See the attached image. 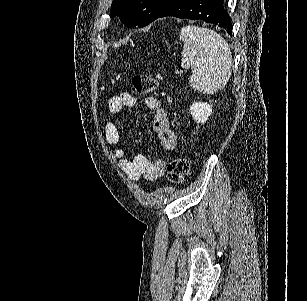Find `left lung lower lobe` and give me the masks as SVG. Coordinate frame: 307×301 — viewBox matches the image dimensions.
Instances as JSON below:
<instances>
[{"instance_id":"obj_1","label":"left lung lower lobe","mask_w":307,"mask_h":301,"mask_svg":"<svg viewBox=\"0 0 307 301\" xmlns=\"http://www.w3.org/2000/svg\"><path fill=\"white\" fill-rule=\"evenodd\" d=\"M165 16L201 19L224 27L232 34L231 17L224 9L223 0H176L158 18Z\"/></svg>"}]
</instances>
